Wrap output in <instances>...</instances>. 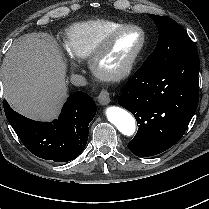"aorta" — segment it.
I'll return each instance as SVG.
<instances>
[{
    "instance_id": "1",
    "label": "aorta",
    "mask_w": 209,
    "mask_h": 209,
    "mask_svg": "<svg viewBox=\"0 0 209 209\" xmlns=\"http://www.w3.org/2000/svg\"><path fill=\"white\" fill-rule=\"evenodd\" d=\"M106 116L123 135L131 136L134 134L136 122L128 111L120 107L110 106L106 109Z\"/></svg>"
}]
</instances>
